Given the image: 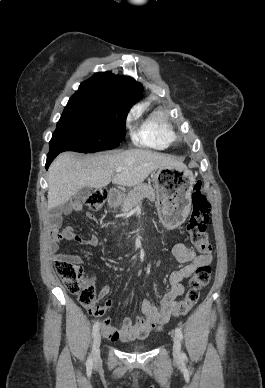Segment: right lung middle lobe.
<instances>
[{"label":"right lung middle lobe","instance_id":"dd1d6c3e","mask_svg":"<svg viewBox=\"0 0 265 388\" xmlns=\"http://www.w3.org/2000/svg\"><path fill=\"white\" fill-rule=\"evenodd\" d=\"M134 103L117 97L73 95L49 142V153H94L118 147Z\"/></svg>","mask_w":265,"mask_h":388}]
</instances>
